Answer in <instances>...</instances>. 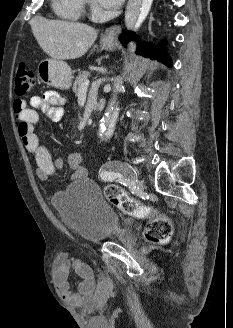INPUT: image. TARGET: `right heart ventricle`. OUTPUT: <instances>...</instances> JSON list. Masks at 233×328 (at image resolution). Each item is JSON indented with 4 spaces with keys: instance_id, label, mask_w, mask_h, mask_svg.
Listing matches in <instances>:
<instances>
[{
    "instance_id": "obj_1",
    "label": "right heart ventricle",
    "mask_w": 233,
    "mask_h": 328,
    "mask_svg": "<svg viewBox=\"0 0 233 328\" xmlns=\"http://www.w3.org/2000/svg\"><path fill=\"white\" fill-rule=\"evenodd\" d=\"M53 6L59 16L70 20L78 19L84 9L82 0H54Z\"/></svg>"
}]
</instances>
